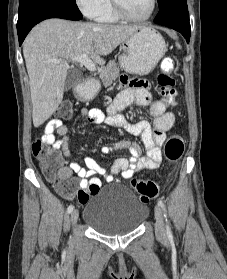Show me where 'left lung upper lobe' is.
Here are the masks:
<instances>
[{"label":"left lung upper lobe","mask_w":227,"mask_h":279,"mask_svg":"<svg viewBox=\"0 0 227 279\" xmlns=\"http://www.w3.org/2000/svg\"><path fill=\"white\" fill-rule=\"evenodd\" d=\"M172 1L186 2V0H158L159 8L160 9L164 8L169 2Z\"/></svg>","instance_id":"obj_1"}]
</instances>
